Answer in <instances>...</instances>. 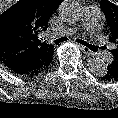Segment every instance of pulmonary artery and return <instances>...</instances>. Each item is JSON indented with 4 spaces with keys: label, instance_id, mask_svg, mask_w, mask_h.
<instances>
[{
    "label": "pulmonary artery",
    "instance_id": "e3ab8cb5",
    "mask_svg": "<svg viewBox=\"0 0 118 118\" xmlns=\"http://www.w3.org/2000/svg\"><path fill=\"white\" fill-rule=\"evenodd\" d=\"M101 17L100 9L95 6L91 5L86 8V10L83 13L82 18V26L86 30H93L98 25L99 19ZM76 31L75 28H69L67 29V32L74 33Z\"/></svg>",
    "mask_w": 118,
    "mask_h": 118
}]
</instances>
